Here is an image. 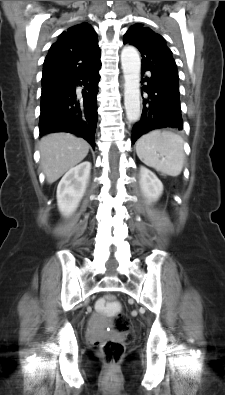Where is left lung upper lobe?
Returning a JSON list of instances; mask_svg holds the SVG:
<instances>
[{"label": "left lung upper lobe", "mask_w": 225, "mask_h": 395, "mask_svg": "<svg viewBox=\"0 0 225 395\" xmlns=\"http://www.w3.org/2000/svg\"><path fill=\"white\" fill-rule=\"evenodd\" d=\"M124 44L137 47L142 55V68L162 71L178 77V70L166 40L142 24L131 26L123 38Z\"/></svg>", "instance_id": "5c2ea615"}]
</instances>
